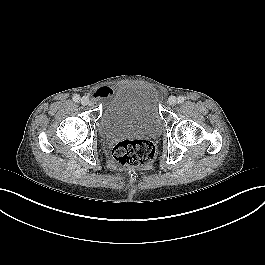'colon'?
I'll return each mask as SVG.
<instances>
[{
	"mask_svg": "<svg viewBox=\"0 0 265 265\" xmlns=\"http://www.w3.org/2000/svg\"><path fill=\"white\" fill-rule=\"evenodd\" d=\"M112 154L120 167L144 168L154 161L156 147L146 139H126L115 144Z\"/></svg>",
	"mask_w": 265,
	"mask_h": 265,
	"instance_id": "colon-1",
	"label": "colon"
}]
</instances>
